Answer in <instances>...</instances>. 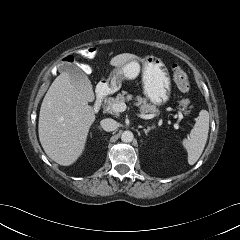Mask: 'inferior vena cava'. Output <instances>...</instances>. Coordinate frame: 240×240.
<instances>
[{"mask_svg":"<svg viewBox=\"0 0 240 240\" xmlns=\"http://www.w3.org/2000/svg\"><path fill=\"white\" fill-rule=\"evenodd\" d=\"M100 125L105 131L110 132L117 128L118 123L114 119L106 118L101 120Z\"/></svg>","mask_w":240,"mask_h":240,"instance_id":"602c4592","label":"inferior vena cava"}]
</instances>
